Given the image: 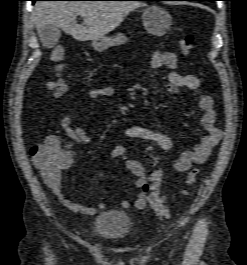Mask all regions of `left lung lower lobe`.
I'll use <instances>...</instances> for the list:
<instances>
[{"label": "left lung lower lobe", "instance_id": "left-lung-lower-lobe-1", "mask_svg": "<svg viewBox=\"0 0 247 265\" xmlns=\"http://www.w3.org/2000/svg\"><path fill=\"white\" fill-rule=\"evenodd\" d=\"M143 1H165V0H143ZM169 1H202V0H169Z\"/></svg>", "mask_w": 247, "mask_h": 265}]
</instances>
